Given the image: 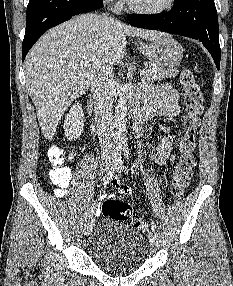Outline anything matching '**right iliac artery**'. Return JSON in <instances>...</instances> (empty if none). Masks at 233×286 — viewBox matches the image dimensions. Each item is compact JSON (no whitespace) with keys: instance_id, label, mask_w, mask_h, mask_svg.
I'll use <instances>...</instances> for the list:
<instances>
[{"instance_id":"1","label":"right iliac artery","mask_w":233,"mask_h":286,"mask_svg":"<svg viewBox=\"0 0 233 286\" xmlns=\"http://www.w3.org/2000/svg\"><path fill=\"white\" fill-rule=\"evenodd\" d=\"M121 151H122V147L121 146H117L116 150H115V154H114V159L111 165L110 170L107 172V174H105V176L103 177V181H102V185L103 187H106V185L109 183V181L111 180V178L113 177V174L119 164V162L121 161ZM94 209H95V205L91 206L86 214L85 217V222H88L92 219L93 213H94Z\"/></svg>"}]
</instances>
